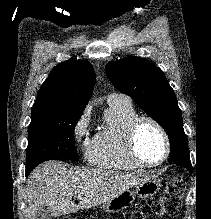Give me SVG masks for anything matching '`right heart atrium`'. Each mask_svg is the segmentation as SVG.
<instances>
[{
    "mask_svg": "<svg viewBox=\"0 0 211 219\" xmlns=\"http://www.w3.org/2000/svg\"><path fill=\"white\" fill-rule=\"evenodd\" d=\"M89 118L86 114H82L74 123L72 136L76 142L81 141L88 133Z\"/></svg>",
    "mask_w": 211,
    "mask_h": 219,
    "instance_id": "d8ad5b80",
    "label": "right heart atrium"
}]
</instances>
